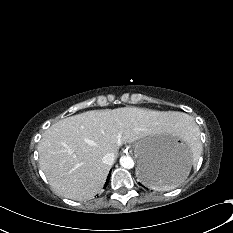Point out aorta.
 I'll return each mask as SVG.
<instances>
[{"instance_id": "1", "label": "aorta", "mask_w": 233, "mask_h": 233, "mask_svg": "<svg viewBox=\"0 0 233 233\" xmlns=\"http://www.w3.org/2000/svg\"><path fill=\"white\" fill-rule=\"evenodd\" d=\"M120 165L126 169H132L134 167V161L130 156H122L120 158Z\"/></svg>"}]
</instances>
